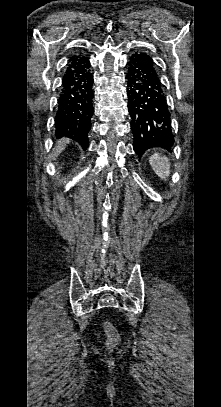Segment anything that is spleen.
I'll return each mask as SVG.
<instances>
[{
  "instance_id": "obj_1",
  "label": "spleen",
  "mask_w": 221,
  "mask_h": 407,
  "mask_svg": "<svg viewBox=\"0 0 221 407\" xmlns=\"http://www.w3.org/2000/svg\"><path fill=\"white\" fill-rule=\"evenodd\" d=\"M149 163L155 173L161 178L166 180L170 175V161L167 157L161 156L159 153H154L149 158Z\"/></svg>"
}]
</instances>
